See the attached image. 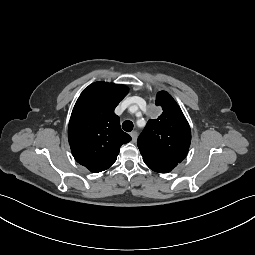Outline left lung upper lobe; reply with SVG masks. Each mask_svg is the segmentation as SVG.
<instances>
[{
	"label": "left lung upper lobe",
	"instance_id": "1",
	"mask_svg": "<svg viewBox=\"0 0 255 255\" xmlns=\"http://www.w3.org/2000/svg\"><path fill=\"white\" fill-rule=\"evenodd\" d=\"M156 105L162 107L163 113L147 122L137 144L150 169L170 172L186 157L191 130L180 107L167 92L157 94Z\"/></svg>",
	"mask_w": 255,
	"mask_h": 255
}]
</instances>
